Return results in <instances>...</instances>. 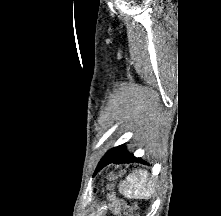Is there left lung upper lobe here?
Wrapping results in <instances>:
<instances>
[{"instance_id":"1","label":"left lung upper lobe","mask_w":221,"mask_h":216,"mask_svg":"<svg viewBox=\"0 0 221 216\" xmlns=\"http://www.w3.org/2000/svg\"><path fill=\"white\" fill-rule=\"evenodd\" d=\"M124 148H125L124 145H120L118 147H115V148L109 150L107 153H110V154L114 153L115 154V153L121 152Z\"/></svg>"}]
</instances>
